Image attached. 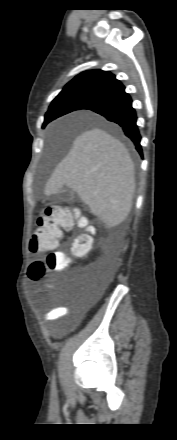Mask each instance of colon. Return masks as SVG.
Listing matches in <instances>:
<instances>
[{
	"label": "colon",
	"mask_w": 177,
	"mask_h": 440,
	"mask_svg": "<svg viewBox=\"0 0 177 440\" xmlns=\"http://www.w3.org/2000/svg\"><path fill=\"white\" fill-rule=\"evenodd\" d=\"M78 226L86 228L87 219L80 216L77 209L54 205L48 207L45 213L37 218L36 229L30 242L32 252H45L48 254L44 261H36L31 265L30 275L33 280H40L45 269L49 271H60L67 267V259L64 253L54 251L61 232ZM92 240L89 235H81L75 239L72 245V252L78 257H86L92 252Z\"/></svg>",
	"instance_id": "obj_1"
}]
</instances>
